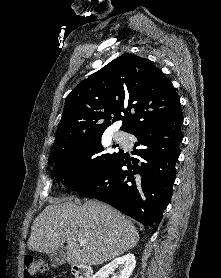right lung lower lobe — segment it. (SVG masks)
<instances>
[{"mask_svg": "<svg viewBox=\"0 0 221 278\" xmlns=\"http://www.w3.org/2000/svg\"><path fill=\"white\" fill-rule=\"evenodd\" d=\"M183 114L149 123L130 132L137 138L127 159L120 152L95 179L76 191L102 200L122 213L155 230L170 202L175 180V164L183 138ZM127 166L128 170H122Z\"/></svg>", "mask_w": 221, "mask_h": 278, "instance_id": "right-lung-lower-lobe-1", "label": "right lung lower lobe"}]
</instances>
